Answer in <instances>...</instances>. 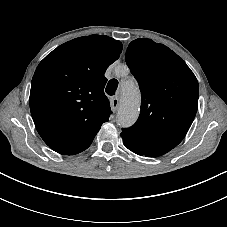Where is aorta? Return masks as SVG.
<instances>
[{
    "instance_id": "1",
    "label": "aorta",
    "mask_w": 227,
    "mask_h": 227,
    "mask_svg": "<svg viewBox=\"0 0 227 227\" xmlns=\"http://www.w3.org/2000/svg\"><path fill=\"white\" fill-rule=\"evenodd\" d=\"M121 90L122 104L117 113V121L122 127H130L139 115L140 92L133 82L123 83Z\"/></svg>"
}]
</instances>
